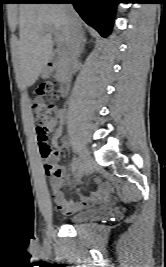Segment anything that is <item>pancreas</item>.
<instances>
[{
    "label": "pancreas",
    "mask_w": 166,
    "mask_h": 267,
    "mask_svg": "<svg viewBox=\"0 0 166 267\" xmlns=\"http://www.w3.org/2000/svg\"><path fill=\"white\" fill-rule=\"evenodd\" d=\"M69 70V64L64 58H60L56 69V76L60 77L67 73Z\"/></svg>",
    "instance_id": "1"
}]
</instances>
